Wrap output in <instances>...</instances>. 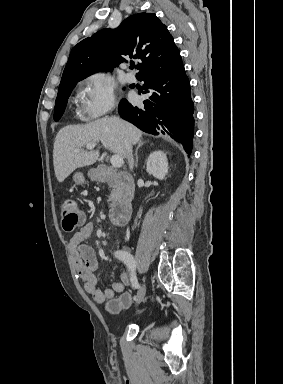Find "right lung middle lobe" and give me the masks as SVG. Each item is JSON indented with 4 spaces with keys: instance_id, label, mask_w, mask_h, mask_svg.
Instances as JSON below:
<instances>
[{
    "instance_id": "obj_1",
    "label": "right lung middle lobe",
    "mask_w": 283,
    "mask_h": 384,
    "mask_svg": "<svg viewBox=\"0 0 283 384\" xmlns=\"http://www.w3.org/2000/svg\"><path fill=\"white\" fill-rule=\"evenodd\" d=\"M76 84L77 83H66V84L59 85L58 95L55 102V111H54L55 121H58L61 118L67 104V99L69 98Z\"/></svg>"
}]
</instances>
